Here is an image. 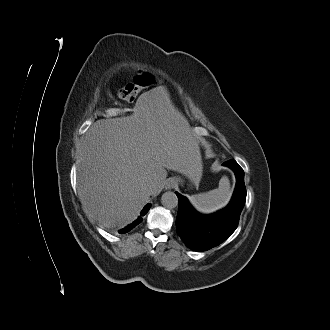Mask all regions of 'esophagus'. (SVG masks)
<instances>
[{
	"label": "esophagus",
	"instance_id": "34e87169",
	"mask_svg": "<svg viewBox=\"0 0 330 330\" xmlns=\"http://www.w3.org/2000/svg\"><path fill=\"white\" fill-rule=\"evenodd\" d=\"M177 186V180L175 178H170L166 181L165 188L172 189Z\"/></svg>",
	"mask_w": 330,
	"mask_h": 330
}]
</instances>
